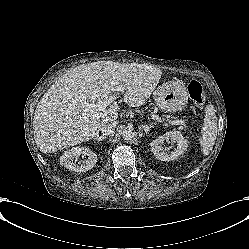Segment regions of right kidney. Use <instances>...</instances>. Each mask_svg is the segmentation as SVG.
Instances as JSON below:
<instances>
[{
    "instance_id": "right-kidney-1",
    "label": "right kidney",
    "mask_w": 249,
    "mask_h": 249,
    "mask_svg": "<svg viewBox=\"0 0 249 249\" xmlns=\"http://www.w3.org/2000/svg\"><path fill=\"white\" fill-rule=\"evenodd\" d=\"M75 158H77V156L66 154L65 156L62 157V160H64L68 164H71ZM90 167H93V164H91Z\"/></svg>"
}]
</instances>
